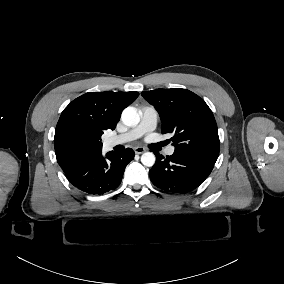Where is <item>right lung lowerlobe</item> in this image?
<instances>
[{"label": "right lung lower lobe", "instance_id": "98d812e1", "mask_svg": "<svg viewBox=\"0 0 284 284\" xmlns=\"http://www.w3.org/2000/svg\"><path fill=\"white\" fill-rule=\"evenodd\" d=\"M134 152L127 148L123 152L99 154L65 173L67 179L79 190L101 195L116 189L122 180L127 164L133 160Z\"/></svg>", "mask_w": 284, "mask_h": 284}]
</instances>
